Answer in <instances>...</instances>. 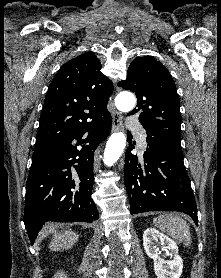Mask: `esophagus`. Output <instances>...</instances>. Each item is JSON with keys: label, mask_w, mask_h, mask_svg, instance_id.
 Segmentation results:
<instances>
[{"label": "esophagus", "mask_w": 221, "mask_h": 278, "mask_svg": "<svg viewBox=\"0 0 221 278\" xmlns=\"http://www.w3.org/2000/svg\"><path fill=\"white\" fill-rule=\"evenodd\" d=\"M112 131L116 132L122 129V114L116 110H112Z\"/></svg>", "instance_id": "1"}]
</instances>
